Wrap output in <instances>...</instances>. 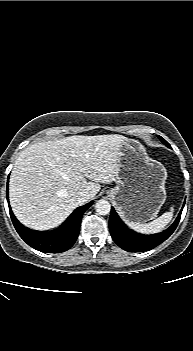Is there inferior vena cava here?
I'll list each match as a JSON object with an SVG mask.
<instances>
[{"instance_id": "1", "label": "inferior vena cava", "mask_w": 193, "mask_h": 351, "mask_svg": "<svg viewBox=\"0 0 193 351\" xmlns=\"http://www.w3.org/2000/svg\"><path fill=\"white\" fill-rule=\"evenodd\" d=\"M76 199L79 204H83L89 199V193L87 191H81L77 194Z\"/></svg>"}]
</instances>
